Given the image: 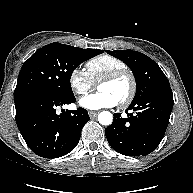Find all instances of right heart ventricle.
<instances>
[{
	"label": "right heart ventricle",
	"instance_id": "right-heart-ventricle-1",
	"mask_svg": "<svg viewBox=\"0 0 193 193\" xmlns=\"http://www.w3.org/2000/svg\"><path fill=\"white\" fill-rule=\"evenodd\" d=\"M87 73L96 84L109 73L127 68L126 63L112 55L102 54L86 63Z\"/></svg>",
	"mask_w": 193,
	"mask_h": 193
}]
</instances>
